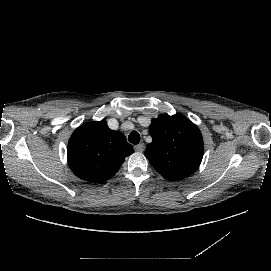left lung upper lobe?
Listing matches in <instances>:
<instances>
[{"instance_id": "left-lung-upper-lobe-1", "label": "left lung upper lobe", "mask_w": 271, "mask_h": 271, "mask_svg": "<svg viewBox=\"0 0 271 271\" xmlns=\"http://www.w3.org/2000/svg\"><path fill=\"white\" fill-rule=\"evenodd\" d=\"M149 131L152 142L145 156L165 179H183L198 169L204 144L200 130L188 118L163 114L152 120Z\"/></svg>"}]
</instances>
